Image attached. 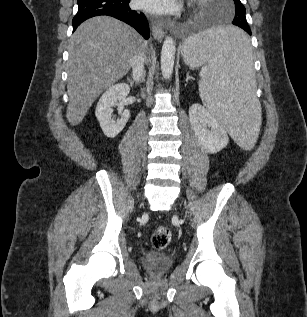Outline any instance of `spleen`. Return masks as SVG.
<instances>
[{
	"instance_id": "1",
	"label": "spleen",
	"mask_w": 307,
	"mask_h": 317,
	"mask_svg": "<svg viewBox=\"0 0 307 317\" xmlns=\"http://www.w3.org/2000/svg\"><path fill=\"white\" fill-rule=\"evenodd\" d=\"M182 56L191 68L202 66L200 98L211 115L244 150L257 148L260 103L246 29L207 26L204 33L190 37Z\"/></svg>"
}]
</instances>
